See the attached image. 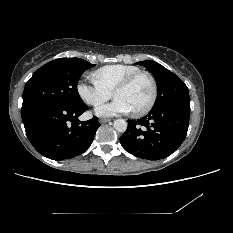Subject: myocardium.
Returning <instances> with one entry per match:
<instances>
[{"label": "myocardium", "instance_id": "obj_1", "mask_svg": "<svg viewBox=\"0 0 233 233\" xmlns=\"http://www.w3.org/2000/svg\"><path fill=\"white\" fill-rule=\"evenodd\" d=\"M141 76H145L149 79V81L151 83L152 93H151L150 100L146 104V106H144L143 108L138 109V110H133L134 114L138 115V116L145 115L148 112H150L157 101L158 84H157L155 77L150 72L138 71V72H135V73L127 76L125 79H123L119 84H117V86L113 90V96H115V94L118 91L129 87L137 78H139Z\"/></svg>", "mask_w": 233, "mask_h": 233}]
</instances>
